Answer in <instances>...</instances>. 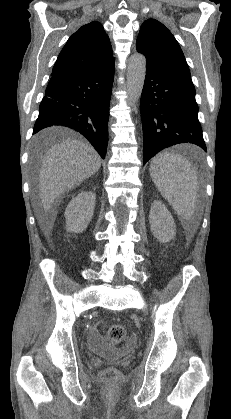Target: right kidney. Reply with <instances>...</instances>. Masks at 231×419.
I'll use <instances>...</instances> for the list:
<instances>
[{
    "instance_id": "right-kidney-1",
    "label": "right kidney",
    "mask_w": 231,
    "mask_h": 419,
    "mask_svg": "<svg viewBox=\"0 0 231 419\" xmlns=\"http://www.w3.org/2000/svg\"><path fill=\"white\" fill-rule=\"evenodd\" d=\"M96 194L92 191L81 192L66 207V230L71 233H82L92 220Z\"/></svg>"
}]
</instances>
